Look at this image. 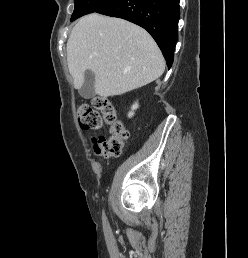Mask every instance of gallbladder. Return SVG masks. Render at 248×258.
<instances>
[{"label":"gallbladder","instance_id":"1","mask_svg":"<svg viewBox=\"0 0 248 258\" xmlns=\"http://www.w3.org/2000/svg\"><path fill=\"white\" fill-rule=\"evenodd\" d=\"M94 83L95 74L91 70H86L84 73V83L80 89V94L82 97L88 99L94 95Z\"/></svg>","mask_w":248,"mask_h":258}]
</instances>
